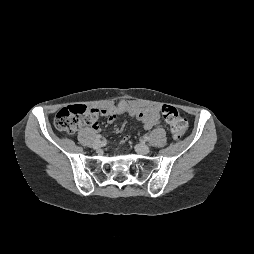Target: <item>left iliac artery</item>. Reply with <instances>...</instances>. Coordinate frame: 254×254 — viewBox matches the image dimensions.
I'll return each instance as SVG.
<instances>
[{
  "label": "left iliac artery",
  "instance_id": "obj_1",
  "mask_svg": "<svg viewBox=\"0 0 254 254\" xmlns=\"http://www.w3.org/2000/svg\"><path fill=\"white\" fill-rule=\"evenodd\" d=\"M143 138H144L145 141H148V140H149V137L146 136V135H145Z\"/></svg>",
  "mask_w": 254,
  "mask_h": 254
}]
</instances>
